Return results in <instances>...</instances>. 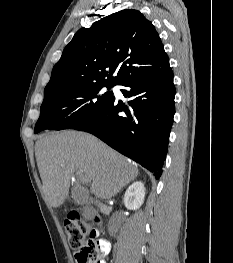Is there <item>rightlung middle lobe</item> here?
Segmentation results:
<instances>
[{
  "instance_id": "dd1d6c3e",
  "label": "right lung middle lobe",
  "mask_w": 233,
  "mask_h": 263,
  "mask_svg": "<svg viewBox=\"0 0 233 263\" xmlns=\"http://www.w3.org/2000/svg\"><path fill=\"white\" fill-rule=\"evenodd\" d=\"M104 87L110 89L111 85H89L44 98L35 133L73 128L87 120L113 100L112 92H102Z\"/></svg>"
}]
</instances>
